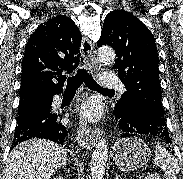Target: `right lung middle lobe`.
Instances as JSON below:
<instances>
[{
    "mask_svg": "<svg viewBox=\"0 0 183 179\" xmlns=\"http://www.w3.org/2000/svg\"><path fill=\"white\" fill-rule=\"evenodd\" d=\"M37 98H38V94L20 97L19 106H18V116L23 115L27 107H29L32 102L37 100Z\"/></svg>",
    "mask_w": 183,
    "mask_h": 179,
    "instance_id": "1",
    "label": "right lung middle lobe"
}]
</instances>
